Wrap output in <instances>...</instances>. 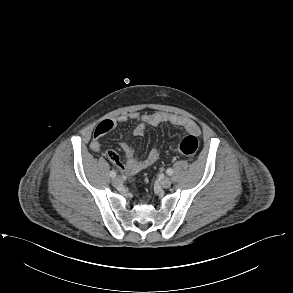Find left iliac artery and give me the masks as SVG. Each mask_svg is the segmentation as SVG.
Masks as SVG:
<instances>
[{
    "label": "left iliac artery",
    "mask_w": 293,
    "mask_h": 293,
    "mask_svg": "<svg viewBox=\"0 0 293 293\" xmlns=\"http://www.w3.org/2000/svg\"><path fill=\"white\" fill-rule=\"evenodd\" d=\"M166 173H167L168 175H172V174H173V169L168 168L167 171H166Z\"/></svg>",
    "instance_id": "1"
}]
</instances>
